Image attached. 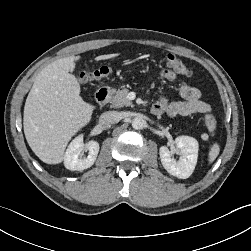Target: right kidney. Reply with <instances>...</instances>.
I'll use <instances>...</instances> for the list:
<instances>
[{
	"label": "right kidney",
	"mask_w": 251,
	"mask_h": 251,
	"mask_svg": "<svg viewBox=\"0 0 251 251\" xmlns=\"http://www.w3.org/2000/svg\"><path fill=\"white\" fill-rule=\"evenodd\" d=\"M84 151H88L86 158H81L80 154ZM99 143L91 140L86 144L83 143V136L79 135L69 145L64 156V165L71 171H82L90 168L98 155Z\"/></svg>",
	"instance_id": "ca27d5eb"
}]
</instances>
